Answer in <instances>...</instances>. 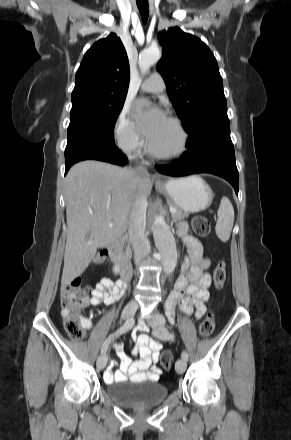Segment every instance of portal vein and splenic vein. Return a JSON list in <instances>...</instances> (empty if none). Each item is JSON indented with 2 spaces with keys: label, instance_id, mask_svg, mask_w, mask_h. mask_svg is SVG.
<instances>
[{
  "label": "portal vein and splenic vein",
  "instance_id": "1",
  "mask_svg": "<svg viewBox=\"0 0 291 440\" xmlns=\"http://www.w3.org/2000/svg\"><path fill=\"white\" fill-rule=\"evenodd\" d=\"M170 209V212L172 213V214H175V213H177V210H176V208H174V207H170L169 208ZM110 228L111 227H113V223H109V225H108Z\"/></svg>",
  "mask_w": 291,
  "mask_h": 440
}]
</instances>
